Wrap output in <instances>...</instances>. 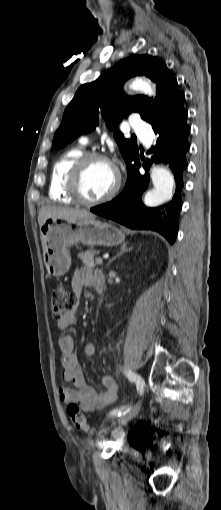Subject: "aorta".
<instances>
[{
  "label": "aorta",
  "mask_w": 221,
  "mask_h": 510,
  "mask_svg": "<svg viewBox=\"0 0 221 510\" xmlns=\"http://www.w3.org/2000/svg\"><path fill=\"white\" fill-rule=\"evenodd\" d=\"M130 88L135 91H142L149 96L154 95L150 83L143 79L133 81ZM151 179L153 189L146 193L144 203L148 207H157L172 197L174 178L166 168L154 166L151 170Z\"/></svg>",
  "instance_id": "1"
}]
</instances>
